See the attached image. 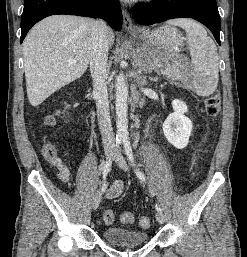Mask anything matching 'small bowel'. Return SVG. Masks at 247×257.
Listing matches in <instances>:
<instances>
[{
  "label": "small bowel",
  "mask_w": 247,
  "mask_h": 257,
  "mask_svg": "<svg viewBox=\"0 0 247 257\" xmlns=\"http://www.w3.org/2000/svg\"><path fill=\"white\" fill-rule=\"evenodd\" d=\"M51 165L57 168L58 170V176L62 182H68L69 177H70V171L68 167L62 162L60 157L56 155L53 158L48 159ZM124 188V184L122 181L117 180L115 181L108 189L106 192V198L108 199H114L118 197Z\"/></svg>",
  "instance_id": "small-bowel-1"
}]
</instances>
